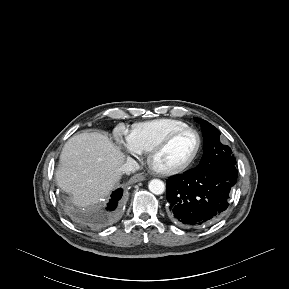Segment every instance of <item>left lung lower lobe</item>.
Masks as SVG:
<instances>
[{"mask_svg":"<svg viewBox=\"0 0 289 289\" xmlns=\"http://www.w3.org/2000/svg\"><path fill=\"white\" fill-rule=\"evenodd\" d=\"M237 180L234 165L191 169L166 180L169 218L182 227L215 222L229 206Z\"/></svg>","mask_w":289,"mask_h":289,"instance_id":"obj_1","label":"left lung lower lobe"}]
</instances>
